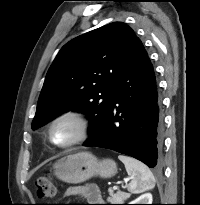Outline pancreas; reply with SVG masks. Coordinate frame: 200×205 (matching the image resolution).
<instances>
[{"instance_id":"pancreas-1","label":"pancreas","mask_w":200,"mask_h":205,"mask_svg":"<svg viewBox=\"0 0 200 205\" xmlns=\"http://www.w3.org/2000/svg\"><path fill=\"white\" fill-rule=\"evenodd\" d=\"M110 197L107 198L108 202L111 204H123V202L130 197L129 193L118 191L114 193L112 189L108 190Z\"/></svg>"}]
</instances>
